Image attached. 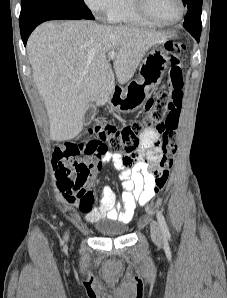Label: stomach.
<instances>
[{
	"label": "stomach",
	"mask_w": 227,
	"mask_h": 298,
	"mask_svg": "<svg viewBox=\"0 0 227 298\" xmlns=\"http://www.w3.org/2000/svg\"><path fill=\"white\" fill-rule=\"evenodd\" d=\"M168 65V57L162 49L149 51L139 67V78L125 88H114L108 103L119 113H132L141 108L149 97L150 89L158 86Z\"/></svg>",
	"instance_id": "stomach-1"
}]
</instances>
